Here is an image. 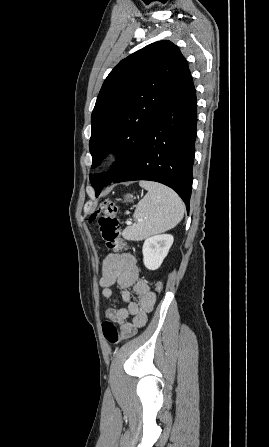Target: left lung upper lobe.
Instances as JSON below:
<instances>
[{
  "label": "left lung upper lobe",
  "mask_w": 269,
  "mask_h": 447,
  "mask_svg": "<svg viewBox=\"0 0 269 447\" xmlns=\"http://www.w3.org/2000/svg\"><path fill=\"white\" fill-rule=\"evenodd\" d=\"M185 61L172 42L159 41L120 61L107 76L91 115V167H97L111 151L117 160L108 173L89 176L95 191L116 179L137 154Z\"/></svg>",
  "instance_id": "obj_1"
}]
</instances>
